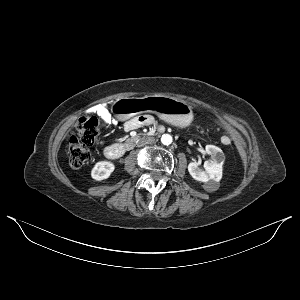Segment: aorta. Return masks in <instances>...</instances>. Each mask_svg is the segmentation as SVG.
Segmentation results:
<instances>
[{"label":"aorta","instance_id":"obj_1","mask_svg":"<svg viewBox=\"0 0 300 300\" xmlns=\"http://www.w3.org/2000/svg\"><path fill=\"white\" fill-rule=\"evenodd\" d=\"M161 142L163 145H170L172 143V136L170 134H163L161 136Z\"/></svg>","mask_w":300,"mask_h":300}]
</instances>
